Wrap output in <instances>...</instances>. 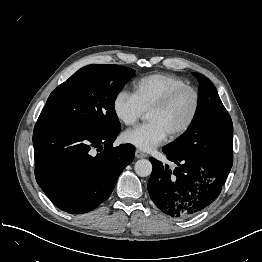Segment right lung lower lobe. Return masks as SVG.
<instances>
[{
	"label": "right lung lower lobe",
	"mask_w": 262,
	"mask_h": 262,
	"mask_svg": "<svg viewBox=\"0 0 262 262\" xmlns=\"http://www.w3.org/2000/svg\"><path fill=\"white\" fill-rule=\"evenodd\" d=\"M119 132H95L62 119L38 118L33 132L35 177L59 209L86 213L110 196L135 153L131 144L112 147Z\"/></svg>",
	"instance_id": "obj_1"
}]
</instances>
